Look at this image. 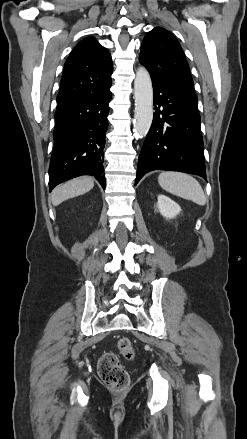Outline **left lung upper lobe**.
<instances>
[{"instance_id":"obj_1","label":"left lung upper lobe","mask_w":247,"mask_h":439,"mask_svg":"<svg viewBox=\"0 0 247 439\" xmlns=\"http://www.w3.org/2000/svg\"><path fill=\"white\" fill-rule=\"evenodd\" d=\"M139 61L147 68L152 80L166 84L197 101L184 52L169 31L156 27L148 32L142 42Z\"/></svg>"}]
</instances>
